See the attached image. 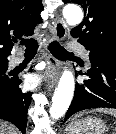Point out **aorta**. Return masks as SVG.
Segmentation results:
<instances>
[{
	"instance_id": "aorta-1",
	"label": "aorta",
	"mask_w": 116,
	"mask_h": 134,
	"mask_svg": "<svg viewBox=\"0 0 116 134\" xmlns=\"http://www.w3.org/2000/svg\"><path fill=\"white\" fill-rule=\"evenodd\" d=\"M63 17L67 24L75 26L82 21L83 12L79 6L69 4L63 9ZM74 88V75L72 72L65 70L52 98V105L49 111L51 118L58 119L66 113L73 98Z\"/></svg>"
}]
</instances>
